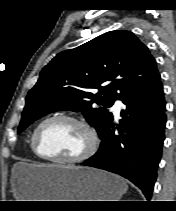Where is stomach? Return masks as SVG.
<instances>
[{"label": "stomach", "mask_w": 176, "mask_h": 211, "mask_svg": "<svg viewBox=\"0 0 176 211\" xmlns=\"http://www.w3.org/2000/svg\"><path fill=\"white\" fill-rule=\"evenodd\" d=\"M12 189L17 201H119L127 184L90 167L17 163Z\"/></svg>", "instance_id": "obj_1"}]
</instances>
